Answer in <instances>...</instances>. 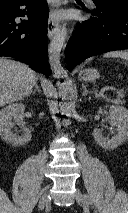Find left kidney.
<instances>
[{
	"instance_id": "left-kidney-1",
	"label": "left kidney",
	"mask_w": 128,
	"mask_h": 213,
	"mask_svg": "<svg viewBox=\"0 0 128 213\" xmlns=\"http://www.w3.org/2000/svg\"><path fill=\"white\" fill-rule=\"evenodd\" d=\"M109 124L116 128L112 138L104 137L98 128L94 129L93 136L99 146L114 150L128 139V110L122 106H110Z\"/></svg>"
}]
</instances>
